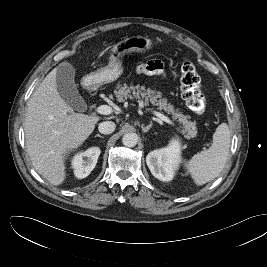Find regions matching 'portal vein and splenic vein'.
Returning <instances> with one entry per match:
<instances>
[{"mask_svg":"<svg viewBox=\"0 0 267 267\" xmlns=\"http://www.w3.org/2000/svg\"><path fill=\"white\" fill-rule=\"evenodd\" d=\"M96 111H97V113L103 114V115H109L113 112L112 108L108 105H101V106L97 107ZM151 112L157 118H159L161 121H163L169 125L175 126V124L172 122V120L169 119L167 116L163 115L162 113L154 111V110H151Z\"/></svg>","mask_w":267,"mask_h":267,"instance_id":"18ae733b","label":"portal vein and splenic vein"}]
</instances>
